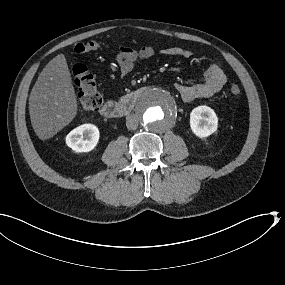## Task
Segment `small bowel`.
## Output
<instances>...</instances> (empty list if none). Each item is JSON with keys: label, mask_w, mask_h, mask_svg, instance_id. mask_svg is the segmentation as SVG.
I'll use <instances>...</instances> for the list:
<instances>
[{"label": "small bowel", "mask_w": 285, "mask_h": 285, "mask_svg": "<svg viewBox=\"0 0 285 285\" xmlns=\"http://www.w3.org/2000/svg\"><path fill=\"white\" fill-rule=\"evenodd\" d=\"M156 54L172 58H189L193 51L185 47H169L156 50L151 46H143L138 49L121 47L115 56V62L122 76L128 75L137 63L147 60ZM227 81L224 68L219 63H212L205 72L204 79L196 84L187 85L177 83L175 89L185 102L198 98H209L218 93Z\"/></svg>", "instance_id": "c3829d8e"}]
</instances>
